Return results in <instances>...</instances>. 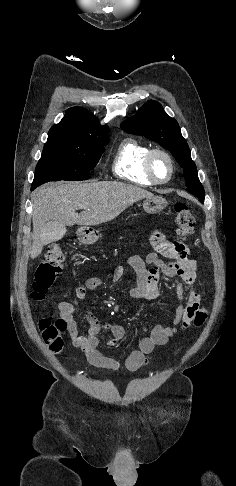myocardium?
I'll return each instance as SVG.
<instances>
[{
    "instance_id": "myocardium-1",
    "label": "myocardium",
    "mask_w": 236,
    "mask_h": 486,
    "mask_svg": "<svg viewBox=\"0 0 236 486\" xmlns=\"http://www.w3.org/2000/svg\"><path fill=\"white\" fill-rule=\"evenodd\" d=\"M158 155L164 157L167 160L169 167H170L169 175L164 180L158 179L154 175L153 169H152L153 159H154L155 156H158ZM144 172H145L146 177L153 184H156V185L166 184L172 179V177L175 173L174 160H173L172 156L165 150L158 149V148L150 149L149 152L146 154L145 159H144Z\"/></svg>"
}]
</instances>
